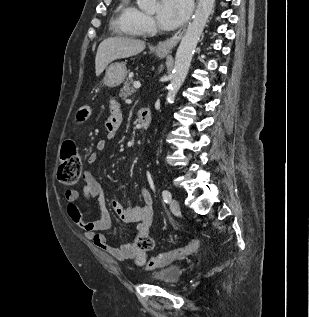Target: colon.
Segmentation results:
<instances>
[{"label":"colon","mask_w":309,"mask_h":317,"mask_svg":"<svg viewBox=\"0 0 309 317\" xmlns=\"http://www.w3.org/2000/svg\"><path fill=\"white\" fill-rule=\"evenodd\" d=\"M90 115V108L85 106L78 112V120L84 121ZM82 170V161L77 152L75 143L72 140H66L62 144L61 154H60V164L57 171L58 180L66 186H74L78 183ZM136 251L139 252L138 263L146 267H156L165 263L170 254H159L158 256L147 259L145 253L151 250L154 246L152 238L147 234L139 233L135 242ZM200 246V241L198 239H193L189 245L177 253H182L184 251H194Z\"/></svg>","instance_id":"obj_1"}]
</instances>
